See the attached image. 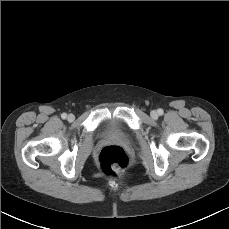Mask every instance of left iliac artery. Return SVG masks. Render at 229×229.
Wrapping results in <instances>:
<instances>
[{"instance_id":"obj_1","label":"left iliac artery","mask_w":229,"mask_h":229,"mask_svg":"<svg viewBox=\"0 0 229 229\" xmlns=\"http://www.w3.org/2000/svg\"><path fill=\"white\" fill-rule=\"evenodd\" d=\"M157 113H158L159 115H163V110H162V109H158V110H157Z\"/></svg>"}]
</instances>
